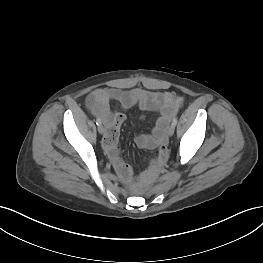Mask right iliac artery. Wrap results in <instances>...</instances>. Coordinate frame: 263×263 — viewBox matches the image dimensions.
Segmentation results:
<instances>
[{"instance_id":"82829eb1","label":"right iliac artery","mask_w":263,"mask_h":263,"mask_svg":"<svg viewBox=\"0 0 263 263\" xmlns=\"http://www.w3.org/2000/svg\"><path fill=\"white\" fill-rule=\"evenodd\" d=\"M96 124H97V125H101V124H102L101 119L97 118V119H96Z\"/></svg>"}]
</instances>
